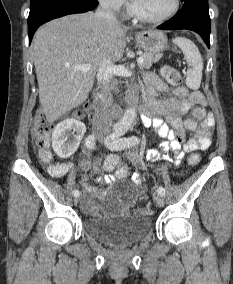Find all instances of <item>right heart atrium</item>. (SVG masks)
Segmentation results:
<instances>
[{
    "label": "right heart atrium",
    "instance_id": "d8ad5b80",
    "mask_svg": "<svg viewBox=\"0 0 233 284\" xmlns=\"http://www.w3.org/2000/svg\"><path fill=\"white\" fill-rule=\"evenodd\" d=\"M100 4L108 10L118 11L124 5L126 0H98Z\"/></svg>",
    "mask_w": 233,
    "mask_h": 284
}]
</instances>
